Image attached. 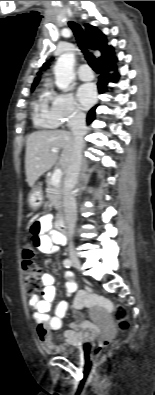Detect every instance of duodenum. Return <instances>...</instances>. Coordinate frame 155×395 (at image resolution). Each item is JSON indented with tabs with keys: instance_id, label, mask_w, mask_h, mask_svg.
Returning a JSON list of instances; mask_svg holds the SVG:
<instances>
[{
	"instance_id": "410a0bca",
	"label": "duodenum",
	"mask_w": 155,
	"mask_h": 395,
	"mask_svg": "<svg viewBox=\"0 0 155 395\" xmlns=\"http://www.w3.org/2000/svg\"><path fill=\"white\" fill-rule=\"evenodd\" d=\"M56 228L59 232V234L64 237L65 236V232H66V222L63 218H59L56 222Z\"/></svg>"
}]
</instances>
